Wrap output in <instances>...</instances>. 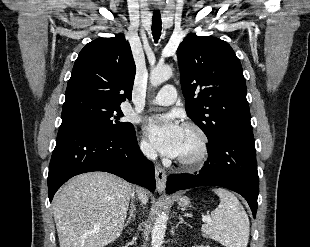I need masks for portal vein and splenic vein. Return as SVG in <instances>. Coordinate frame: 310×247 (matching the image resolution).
<instances>
[{"mask_svg": "<svg viewBox=\"0 0 310 247\" xmlns=\"http://www.w3.org/2000/svg\"><path fill=\"white\" fill-rule=\"evenodd\" d=\"M204 220H210V218H209V217H206V218H204Z\"/></svg>", "mask_w": 310, "mask_h": 247, "instance_id": "18ae733b", "label": "portal vein and splenic vein"}]
</instances>
